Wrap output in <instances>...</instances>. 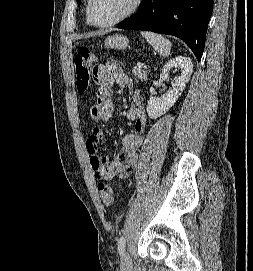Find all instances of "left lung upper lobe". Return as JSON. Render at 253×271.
I'll use <instances>...</instances> for the list:
<instances>
[{"label": "left lung upper lobe", "mask_w": 253, "mask_h": 271, "mask_svg": "<svg viewBox=\"0 0 253 271\" xmlns=\"http://www.w3.org/2000/svg\"><path fill=\"white\" fill-rule=\"evenodd\" d=\"M78 5H80V0H77Z\"/></svg>", "instance_id": "obj_1"}]
</instances>
